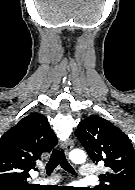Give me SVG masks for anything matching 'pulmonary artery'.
Listing matches in <instances>:
<instances>
[{
  "mask_svg": "<svg viewBox=\"0 0 135 190\" xmlns=\"http://www.w3.org/2000/svg\"><path fill=\"white\" fill-rule=\"evenodd\" d=\"M95 173V169L94 166L92 164L89 163H85L82 164L79 168V176L83 179H89L92 178L94 176ZM58 180V177H54L52 179H45V178H37L36 182L40 183V184H44V183H48V182H55Z\"/></svg>",
  "mask_w": 135,
  "mask_h": 190,
  "instance_id": "pulmonary-artery-1",
  "label": "pulmonary artery"
}]
</instances>
